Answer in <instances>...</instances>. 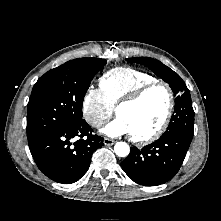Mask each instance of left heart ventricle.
Here are the masks:
<instances>
[{
  "label": "left heart ventricle",
  "instance_id": "left-heart-ventricle-1",
  "mask_svg": "<svg viewBox=\"0 0 221 221\" xmlns=\"http://www.w3.org/2000/svg\"><path fill=\"white\" fill-rule=\"evenodd\" d=\"M167 107V91L162 86H156L138 103L122 107L117 116L128 126L131 135L142 137L152 133L160 125Z\"/></svg>",
  "mask_w": 221,
  "mask_h": 221
}]
</instances>
